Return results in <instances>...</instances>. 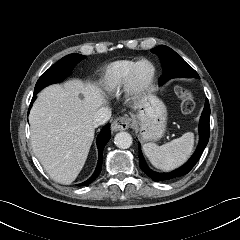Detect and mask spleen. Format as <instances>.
I'll list each match as a JSON object with an SVG mask.
<instances>
[{
	"label": "spleen",
	"instance_id": "spleen-1",
	"mask_svg": "<svg viewBox=\"0 0 240 240\" xmlns=\"http://www.w3.org/2000/svg\"><path fill=\"white\" fill-rule=\"evenodd\" d=\"M193 147L194 134L187 132L161 146L154 143L144 144L143 151L155 168L168 171L182 165L190 157Z\"/></svg>",
	"mask_w": 240,
	"mask_h": 240
}]
</instances>
